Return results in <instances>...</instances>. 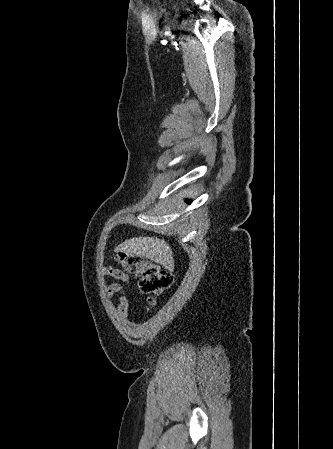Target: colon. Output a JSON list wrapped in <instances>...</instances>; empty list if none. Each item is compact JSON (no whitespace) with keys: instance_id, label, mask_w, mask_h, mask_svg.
I'll use <instances>...</instances> for the list:
<instances>
[{"instance_id":"1","label":"colon","mask_w":333,"mask_h":449,"mask_svg":"<svg viewBox=\"0 0 333 449\" xmlns=\"http://www.w3.org/2000/svg\"><path fill=\"white\" fill-rule=\"evenodd\" d=\"M113 258L125 271L138 277L139 290L150 295V304L154 303V296L162 294L174 282L172 272L135 253L118 251Z\"/></svg>"}]
</instances>
